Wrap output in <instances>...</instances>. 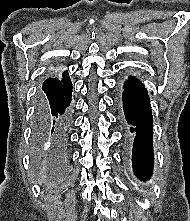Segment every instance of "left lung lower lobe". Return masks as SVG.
<instances>
[{"label":"left lung lower lobe","instance_id":"left-lung-lower-lobe-1","mask_svg":"<svg viewBox=\"0 0 190 221\" xmlns=\"http://www.w3.org/2000/svg\"><path fill=\"white\" fill-rule=\"evenodd\" d=\"M122 105L130 131L136 134L132 150L135 175L150 178L153 164L152 112L147 90L139 79L129 77L123 85Z\"/></svg>","mask_w":190,"mask_h":221}]
</instances>
